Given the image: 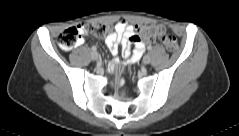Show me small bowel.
<instances>
[{
  "label": "small bowel",
  "mask_w": 239,
  "mask_h": 136,
  "mask_svg": "<svg viewBox=\"0 0 239 136\" xmlns=\"http://www.w3.org/2000/svg\"><path fill=\"white\" fill-rule=\"evenodd\" d=\"M105 42L116 63L119 61V51L127 61L136 62L145 49L142 41L135 40L134 27L124 20L115 24L114 32L107 36Z\"/></svg>",
  "instance_id": "1"
}]
</instances>
